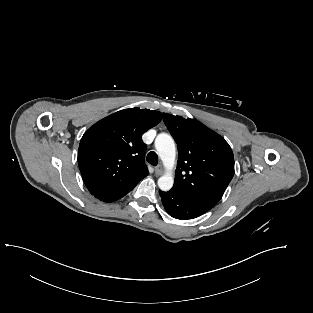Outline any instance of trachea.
<instances>
[{
	"label": "trachea",
	"mask_w": 313,
	"mask_h": 313,
	"mask_svg": "<svg viewBox=\"0 0 313 313\" xmlns=\"http://www.w3.org/2000/svg\"><path fill=\"white\" fill-rule=\"evenodd\" d=\"M147 162L153 166H156L158 164V156L154 151L148 153Z\"/></svg>",
	"instance_id": "3493384b"
}]
</instances>
